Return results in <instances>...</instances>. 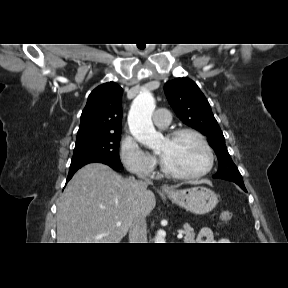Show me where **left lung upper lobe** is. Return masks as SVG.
I'll use <instances>...</instances> for the list:
<instances>
[{
    "label": "left lung upper lobe",
    "instance_id": "obj_1",
    "mask_svg": "<svg viewBox=\"0 0 288 288\" xmlns=\"http://www.w3.org/2000/svg\"><path fill=\"white\" fill-rule=\"evenodd\" d=\"M166 97L177 116L187 125L207 136L219 160L214 178L243 184L242 176L232 161L223 133L211 111L209 102L197 84L188 78H176L164 85Z\"/></svg>",
    "mask_w": 288,
    "mask_h": 288
}]
</instances>
